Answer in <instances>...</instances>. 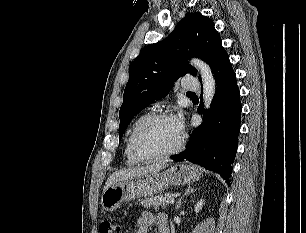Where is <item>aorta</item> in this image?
I'll list each match as a JSON object with an SVG mask.
<instances>
[{
	"instance_id": "obj_1",
	"label": "aorta",
	"mask_w": 306,
	"mask_h": 233,
	"mask_svg": "<svg viewBox=\"0 0 306 233\" xmlns=\"http://www.w3.org/2000/svg\"><path fill=\"white\" fill-rule=\"evenodd\" d=\"M191 65L201 73L203 81V102L209 108L216 91V83L212 71L207 63L200 59H191Z\"/></svg>"
}]
</instances>
